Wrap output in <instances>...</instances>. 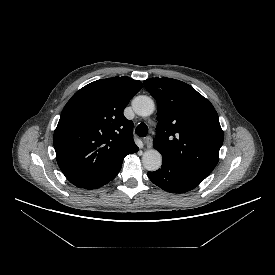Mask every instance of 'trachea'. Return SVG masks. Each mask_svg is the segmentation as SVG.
Masks as SVG:
<instances>
[{
	"label": "trachea",
	"instance_id": "3493384b",
	"mask_svg": "<svg viewBox=\"0 0 275 275\" xmlns=\"http://www.w3.org/2000/svg\"><path fill=\"white\" fill-rule=\"evenodd\" d=\"M139 137H145L148 134V127L145 123H140L135 130Z\"/></svg>",
	"mask_w": 275,
	"mask_h": 275
}]
</instances>
